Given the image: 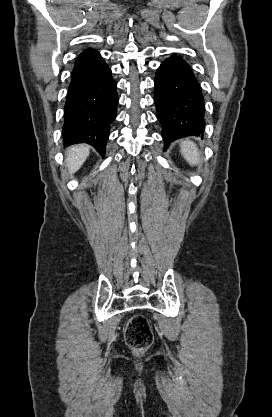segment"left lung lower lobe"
<instances>
[{"instance_id":"1","label":"left lung lower lobe","mask_w":272,"mask_h":417,"mask_svg":"<svg viewBox=\"0 0 272 417\" xmlns=\"http://www.w3.org/2000/svg\"><path fill=\"white\" fill-rule=\"evenodd\" d=\"M154 82L157 118L162 125L165 145L202 134L205 101L190 66L181 57L171 55L158 68Z\"/></svg>"}]
</instances>
